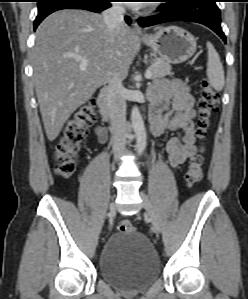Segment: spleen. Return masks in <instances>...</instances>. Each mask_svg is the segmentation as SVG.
Listing matches in <instances>:
<instances>
[{"label":"spleen","mask_w":248,"mask_h":299,"mask_svg":"<svg viewBox=\"0 0 248 299\" xmlns=\"http://www.w3.org/2000/svg\"><path fill=\"white\" fill-rule=\"evenodd\" d=\"M208 61H207V77L210 85L217 91H221L225 84L224 70L220 61L219 54L214 46L207 42Z\"/></svg>","instance_id":"spleen-1"}]
</instances>
